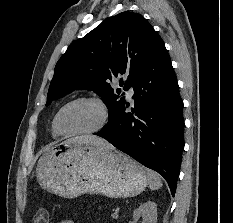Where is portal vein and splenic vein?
I'll return each instance as SVG.
<instances>
[{"label":"portal vein and splenic vein","instance_id":"obj_1","mask_svg":"<svg viewBox=\"0 0 233 223\" xmlns=\"http://www.w3.org/2000/svg\"><path fill=\"white\" fill-rule=\"evenodd\" d=\"M112 217H118L117 211H115V213H112Z\"/></svg>","mask_w":233,"mask_h":223}]
</instances>
